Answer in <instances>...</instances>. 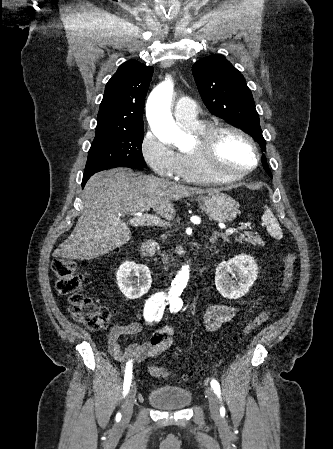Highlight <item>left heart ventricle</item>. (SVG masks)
<instances>
[{
  "instance_id": "1",
  "label": "left heart ventricle",
  "mask_w": 333,
  "mask_h": 449,
  "mask_svg": "<svg viewBox=\"0 0 333 449\" xmlns=\"http://www.w3.org/2000/svg\"><path fill=\"white\" fill-rule=\"evenodd\" d=\"M254 162L255 154L243 138L228 134L221 139L215 162L218 169L236 174L244 171Z\"/></svg>"
}]
</instances>
